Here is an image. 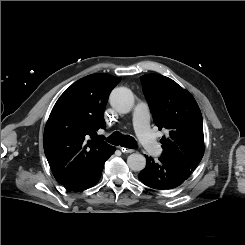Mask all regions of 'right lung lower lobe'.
<instances>
[{"label": "right lung lower lobe", "mask_w": 245, "mask_h": 245, "mask_svg": "<svg viewBox=\"0 0 245 245\" xmlns=\"http://www.w3.org/2000/svg\"><path fill=\"white\" fill-rule=\"evenodd\" d=\"M115 148L106 156L94 159L76 175L62 183L69 190L82 191L94 186L100 179L105 161L114 153Z\"/></svg>", "instance_id": "right-lung-lower-lobe-1"}]
</instances>
